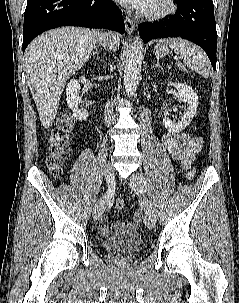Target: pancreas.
Wrapping results in <instances>:
<instances>
[{
    "label": "pancreas",
    "instance_id": "cf45deb5",
    "mask_svg": "<svg viewBox=\"0 0 239 303\" xmlns=\"http://www.w3.org/2000/svg\"><path fill=\"white\" fill-rule=\"evenodd\" d=\"M177 66H178L179 69H181L182 71H186L185 68H184V66H182L181 64H178Z\"/></svg>",
    "mask_w": 239,
    "mask_h": 303
}]
</instances>
